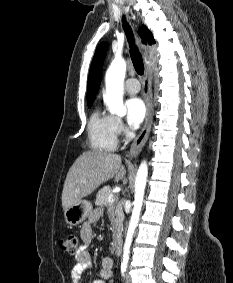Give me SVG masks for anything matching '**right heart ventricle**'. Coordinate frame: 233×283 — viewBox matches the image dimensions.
I'll return each mask as SVG.
<instances>
[{"label":"right heart ventricle","instance_id":"1","mask_svg":"<svg viewBox=\"0 0 233 283\" xmlns=\"http://www.w3.org/2000/svg\"><path fill=\"white\" fill-rule=\"evenodd\" d=\"M87 134L90 146L97 151L111 152L117 147L116 118L95 109L90 116Z\"/></svg>","mask_w":233,"mask_h":283}]
</instances>
